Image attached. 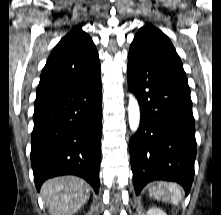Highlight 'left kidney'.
<instances>
[{"mask_svg":"<svg viewBox=\"0 0 221 215\" xmlns=\"http://www.w3.org/2000/svg\"><path fill=\"white\" fill-rule=\"evenodd\" d=\"M147 215H167V214L159 208H150L147 211Z\"/></svg>","mask_w":221,"mask_h":215,"instance_id":"5707ae66","label":"left kidney"}]
</instances>
